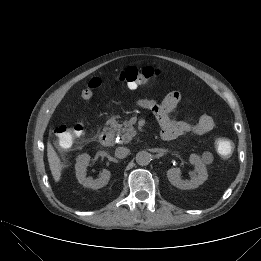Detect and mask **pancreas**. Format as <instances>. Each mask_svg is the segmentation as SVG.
<instances>
[{
  "label": "pancreas",
  "instance_id": "cf45deb5",
  "mask_svg": "<svg viewBox=\"0 0 261 261\" xmlns=\"http://www.w3.org/2000/svg\"><path fill=\"white\" fill-rule=\"evenodd\" d=\"M111 126L117 135L121 137V143H128L136 134L129 121H124L123 124L114 122Z\"/></svg>",
  "mask_w": 261,
  "mask_h": 261
}]
</instances>
